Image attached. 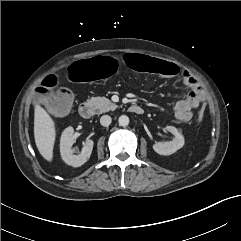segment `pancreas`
<instances>
[{
	"mask_svg": "<svg viewBox=\"0 0 241 241\" xmlns=\"http://www.w3.org/2000/svg\"><path fill=\"white\" fill-rule=\"evenodd\" d=\"M88 102L94 106L97 114H102L110 110H115L118 106L106 97H92Z\"/></svg>",
	"mask_w": 241,
	"mask_h": 241,
	"instance_id": "obj_1",
	"label": "pancreas"
}]
</instances>
